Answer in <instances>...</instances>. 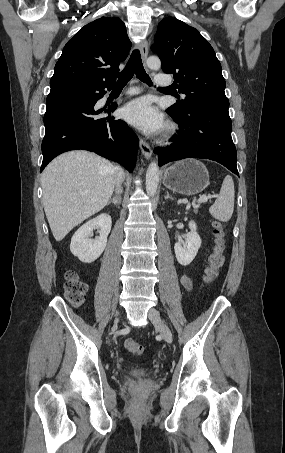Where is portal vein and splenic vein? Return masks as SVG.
I'll return each mask as SVG.
<instances>
[{
    "label": "portal vein and splenic vein",
    "mask_w": 285,
    "mask_h": 453,
    "mask_svg": "<svg viewBox=\"0 0 285 453\" xmlns=\"http://www.w3.org/2000/svg\"><path fill=\"white\" fill-rule=\"evenodd\" d=\"M210 198H211V197H209V196L202 195V196L198 199L197 203H198V204L205 203V202H207Z\"/></svg>",
    "instance_id": "1"
}]
</instances>
